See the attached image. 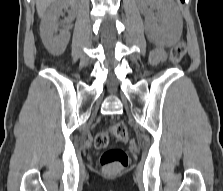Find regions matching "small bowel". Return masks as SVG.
Returning <instances> with one entry per match:
<instances>
[{
	"instance_id": "1",
	"label": "small bowel",
	"mask_w": 223,
	"mask_h": 191,
	"mask_svg": "<svg viewBox=\"0 0 223 191\" xmlns=\"http://www.w3.org/2000/svg\"><path fill=\"white\" fill-rule=\"evenodd\" d=\"M165 58V51L162 48H156L151 52L150 61L152 64L157 65Z\"/></svg>"
}]
</instances>
